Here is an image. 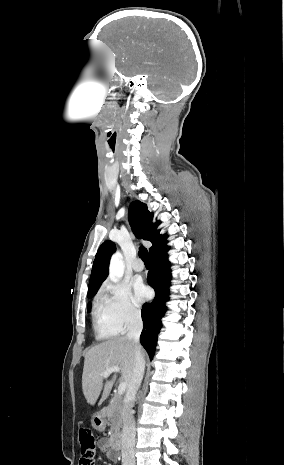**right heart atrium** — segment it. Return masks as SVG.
Returning a JSON list of instances; mask_svg holds the SVG:
<instances>
[{"instance_id": "1", "label": "right heart atrium", "mask_w": 284, "mask_h": 465, "mask_svg": "<svg viewBox=\"0 0 284 465\" xmlns=\"http://www.w3.org/2000/svg\"><path fill=\"white\" fill-rule=\"evenodd\" d=\"M96 301L106 308L120 331L130 329L142 318V310L132 301L129 289L115 281L108 280L102 284Z\"/></svg>"}]
</instances>
